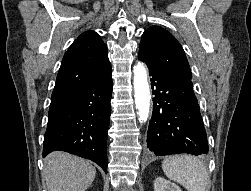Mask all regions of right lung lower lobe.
Masks as SVG:
<instances>
[{
	"label": "right lung lower lobe",
	"instance_id": "98d812e1",
	"mask_svg": "<svg viewBox=\"0 0 251 191\" xmlns=\"http://www.w3.org/2000/svg\"><path fill=\"white\" fill-rule=\"evenodd\" d=\"M111 96L110 75L88 88L51 100L43 157L53 151H65L94 161L107 173Z\"/></svg>",
	"mask_w": 251,
	"mask_h": 191
}]
</instances>
